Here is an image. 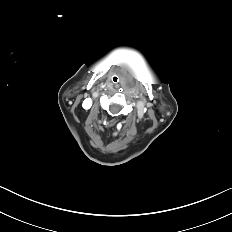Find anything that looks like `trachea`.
Returning <instances> with one entry per match:
<instances>
[{
  "mask_svg": "<svg viewBox=\"0 0 232 232\" xmlns=\"http://www.w3.org/2000/svg\"><path fill=\"white\" fill-rule=\"evenodd\" d=\"M110 80L113 84H118L120 82V77L114 74L110 77Z\"/></svg>",
  "mask_w": 232,
  "mask_h": 232,
  "instance_id": "obj_1",
  "label": "trachea"
}]
</instances>
